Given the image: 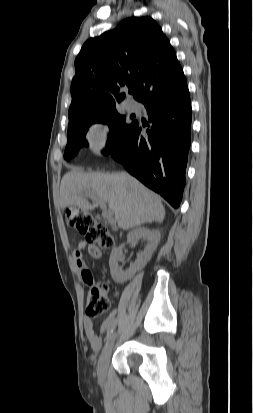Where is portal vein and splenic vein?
<instances>
[{
	"instance_id": "portal-vein-and-splenic-vein-1",
	"label": "portal vein and splenic vein",
	"mask_w": 253,
	"mask_h": 413,
	"mask_svg": "<svg viewBox=\"0 0 253 413\" xmlns=\"http://www.w3.org/2000/svg\"><path fill=\"white\" fill-rule=\"evenodd\" d=\"M85 195L100 205V207L103 209V216L105 218L112 217V212L107 209L105 202L101 198H99L93 191H87Z\"/></svg>"
}]
</instances>
